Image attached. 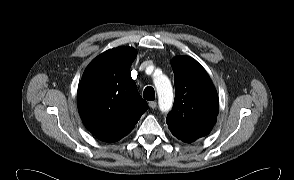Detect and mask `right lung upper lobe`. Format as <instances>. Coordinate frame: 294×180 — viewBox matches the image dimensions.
<instances>
[{
  "label": "right lung upper lobe",
  "mask_w": 294,
  "mask_h": 180,
  "mask_svg": "<svg viewBox=\"0 0 294 180\" xmlns=\"http://www.w3.org/2000/svg\"><path fill=\"white\" fill-rule=\"evenodd\" d=\"M136 55L132 47L107 50L91 61L79 83L80 117L104 142H116L127 135L148 108L130 75Z\"/></svg>",
  "instance_id": "right-lung-upper-lobe-1"
}]
</instances>
